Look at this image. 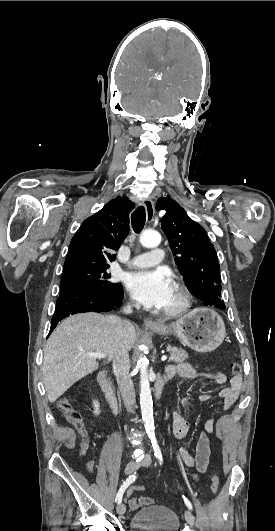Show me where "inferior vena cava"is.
Wrapping results in <instances>:
<instances>
[{"label":"inferior vena cava","mask_w":275,"mask_h":531,"mask_svg":"<svg viewBox=\"0 0 275 531\" xmlns=\"http://www.w3.org/2000/svg\"><path fill=\"white\" fill-rule=\"evenodd\" d=\"M126 315L132 313V305H126L123 309ZM107 323L113 325L114 327V355H113V371L116 375L118 391L123 399V403L128 411V413H133L135 405V391L134 383L129 375L130 371V359L129 353L124 347L122 337V319L120 317H114L110 315L107 317Z\"/></svg>","instance_id":"602c4592"}]
</instances>
